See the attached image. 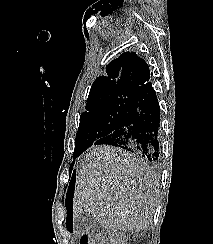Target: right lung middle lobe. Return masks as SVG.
<instances>
[{"label": "right lung middle lobe", "instance_id": "1", "mask_svg": "<svg viewBox=\"0 0 213 244\" xmlns=\"http://www.w3.org/2000/svg\"><path fill=\"white\" fill-rule=\"evenodd\" d=\"M136 96L117 94L92 100L80 116L73 157L77 158L95 141L114 132Z\"/></svg>", "mask_w": 213, "mask_h": 244}]
</instances>
